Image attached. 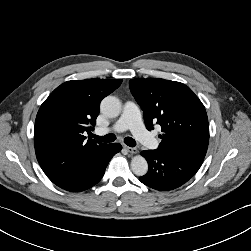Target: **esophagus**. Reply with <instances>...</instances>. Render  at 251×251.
Masks as SVG:
<instances>
[{
  "instance_id": "esophagus-1",
  "label": "esophagus",
  "mask_w": 251,
  "mask_h": 251,
  "mask_svg": "<svg viewBox=\"0 0 251 251\" xmlns=\"http://www.w3.org/2000/svg\"><path fill=\"white\" fill-rule=\"evenodd\" d=\"M124 149L128 152V153H130V154H135L136 152H137V149L136 148H134V147H129V146H124Z\"/></svg>"
}]
</instances>
